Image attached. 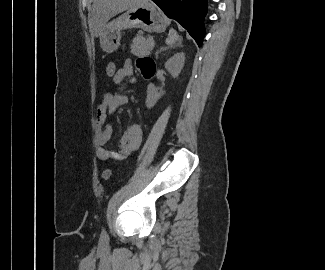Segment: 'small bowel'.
Segmentation results:
<instances>
[{
  "mask_svg": "<svg viewBox=\"0 0 325 270\" xmlns=\"http://www.w3.org/2000/svg\"><path fill=\"white\" fill-rule=\"evenodd\" d=\"M137 69L143 77L150 78L155 72V63L152 58L143 56L137 59ZM117 73L118 78L112 79L115 85L122 84L126 79H129L130 83L135 82L133 77V64L130 60L125 61ZM127 102L128 98L124 94L117 92H106L97 107L95 118V144L96 155L100 160H124L131 153L137 150L141 143L142 128L139 124H132L125 129L118 149L110 150L106 148V144L111 139L113 134L111 124H108L105 128H103L107 114L115 112L116 109L126 105Z\"/></svg>",
  "mask_w": 325,
  "mask_h": 270,
  "instance_id": "1",
  "label": "small bowel"
}]
</instances>
